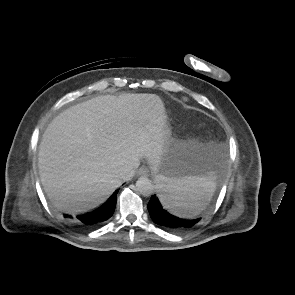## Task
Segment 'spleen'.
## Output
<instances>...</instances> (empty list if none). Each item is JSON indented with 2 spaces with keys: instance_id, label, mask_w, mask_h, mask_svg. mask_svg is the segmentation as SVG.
I'll list each match as a JSON object with an SVG mask.
<instances>
[{
  "instance_id": "1",
  "label": "spleen",
  "mask_w": 295,
  "mask_h": 295,
  "mask_svg": "<svg viewBox=\"0 0 295 295\" xmlns=\"http://www.w3.org/2000/svg\"><path fill=\"white\" fill-rule=\"evenodd\" d=\"M158 197L168 211L183 218H194L210 202L216 188L213 172L198 177H156Z\"/></svg>"
}]
</instances>
